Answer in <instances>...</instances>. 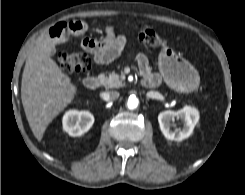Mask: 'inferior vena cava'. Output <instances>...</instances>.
Here are the masks:
<instances>
[{
    "instance_id": "obj_1",
    "label": "inferior vena cava",
    "mask_w": 245,
    "mask_h": 195,
    "mask_svg": "<svg viewBox=\"0 0 245 195\" xmlns=\"http://www.w3.org/2000/svg\"><path fill=\"white\" fill-rule=\"evenodd\" d=\"M100 96L103 100L108 101V100L117 99L120 96V94L117 91H110V92H103L100 94Z\"/></svg>"
}]
</instances>
